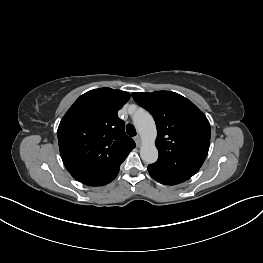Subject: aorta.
I'll return each mask as SVG.
<instances>
[{
  "instance_id": "1",
  "label": "aorta",
  "mask_w": 263,
  "mask_h": 263,
  "mask_svg": "<svg viewBox=\"0 0 263 263\" xmlns=\"http://www.w3.org/2000/svg\"><path fill=\"white\" fill-rule=\"evenodd\" d=\"M133 121L142 139L141 159L148 164L155 163L158 159V150L155 146L157 130L153 117L148 112L141 111L134 115Z\"/></svg>"
}]
</instances>
